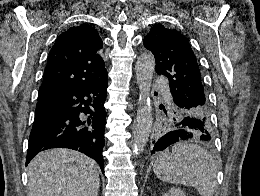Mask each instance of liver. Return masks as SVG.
Instances as JSON below:
<instances>
[{"instance_id":"liver-1","label":"liver","mask_w":260,"mask_h":196,"mask_svg":"<svg viewBox=\"0 0 260 196\" xmlns=\"http://www.w3.org/2000/svg\"><path fill=\"white\" fill-rule=\"evenodd\" d=\"M96 162L75 150L40 152L28 166L29 196H98Z\"/></svg>"}]
</instances>
